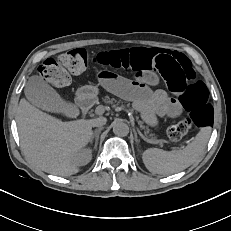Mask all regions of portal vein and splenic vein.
<instances>
[{
  "label": "portal vein and splenic vein",
  "mask_w": 231,
  "mask_h": 231,
  "mask_svg": "<svg viewBox=\"0 0 231 231\" xmlns=\"http://www.w3.org/2000/svg\"><path fill=\"white\" fill-rule=\"evenodd\" d=\"M119 109H120V108H119ZM104 112H105V107H104L103 105H99V106H97L96 109H95V114H97V115H102ZM141 136H142L145 140H147L148 142H150V143H154V144L157 143V141H155V140H149V139L145 138V137L143 136V134H141Z\"/></svg>",
  "instance_id": "portal-vein-and-splenic-vein-1"
}]
</instances>
